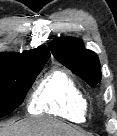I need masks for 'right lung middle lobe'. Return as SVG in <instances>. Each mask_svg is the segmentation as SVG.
Masks as SVG:
<instances>
[{
    "label": "right lung middle lobe",
    "mask_w": 117,
    "mask_h": 136,
    "mask_svg": "<svg viewBox=\"0 0 117 136\" xmlns=\"http://www.w3.org/2000/svg\"><path fill=\"white\" fill-rule=\"evenodd\" d=\"M47 60L41 59L29 64L0 62V118L22 104Z\"/></svg>",
    "instance_id": "right-lung-middle-lobe-1"
}]
</instances>
